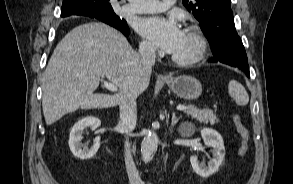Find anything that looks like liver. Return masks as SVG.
I'll use <instances>...</instances> for the list:
<instances>
[{
  "instance_id": "obj_1",
  "label": "liver",
  "mask_w": 293,
  "mask_h": 184,
  "mask_svg": "<svg viewBox=\"0 0 293 184\" xmlns=\"http://www.w3.org/2000/svg\"><path fill=\"white\" fill-rule=\"evenodd\" d=\"M119 88L114 95L96 94L100 77ZM151 72L116 29L90 22L72 29L58 43L42 78L45 122L52 125L78 109L109 108L127 92H144Z\"/></svg>"
}]
</instances>
